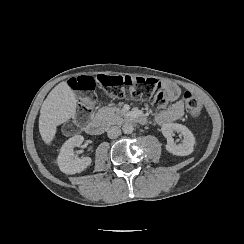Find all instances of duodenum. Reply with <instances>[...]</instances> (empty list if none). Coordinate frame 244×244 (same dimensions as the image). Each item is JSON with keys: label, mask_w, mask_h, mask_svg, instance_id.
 Instances as JSON below:
<instances>
[{"label": "duodenum", "mask_w": 244, "mask_h": 244, "mask_svg": "<svg viewBox=\"0 0 244 244\" xmlns=\"http://www.w3.org/2000/svg\"><path fill=\"white\" fill-rule=\"evenodd\" d=\"M126 121L135 122L144 125L147 122V118L142 114L129 115L125 118ZM109 124L101 119H90L85 124L86 132L93 136H99L104 133Z\"/></svg>", "instance_id": "duodenum-1"}]
</instances>
